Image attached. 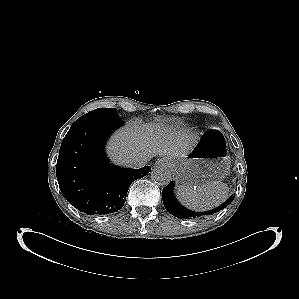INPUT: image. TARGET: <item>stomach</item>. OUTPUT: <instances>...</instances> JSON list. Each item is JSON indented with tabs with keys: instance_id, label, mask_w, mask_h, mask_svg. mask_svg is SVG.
Instances as JSON below:
<instances>
[{
	"instance_id": "obj_1",
	"label": "stomach",
	"mask_w": 299,
	"mask_h": 299,
	"mask_svg": "<svg viewBox=\"0 0 299 299\" xmlns=\"http://www.w3.org/2000/svg\"><path fill=\"white\" fill-rule=\"evenodd\" d=\"M177 181L183 186L199 187L221 181L230 170V157L222 133L213 128L203 133L193 148L180 160H171Z\"/></svg>"
}]
</instances>
